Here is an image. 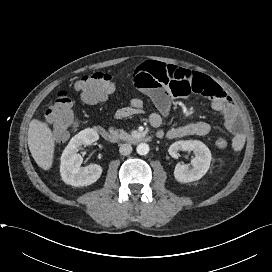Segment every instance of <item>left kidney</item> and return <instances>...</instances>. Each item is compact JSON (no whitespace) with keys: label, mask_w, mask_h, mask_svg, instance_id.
<instances>
[{"label":"left kidney","mask_w":272,"mask_h":272,"mask_svg":"<svg viewBox=\"0 0 272 272\" xmlns=\"http://www.w3.org/2000/svg\"><path fill=\"white\" fill-rule=\"evenodd\" d=\"M179 151H193L192 168L178 163L174 170V177L178 182L188 183L199 180L208 171L212 159L209 148L199 140H180L174 142L168 149L173 158H178Z\"/></svg>","instance_id":"obj_1"}]
</instances>
